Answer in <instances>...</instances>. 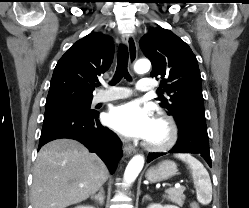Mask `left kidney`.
Returning a JSON list of instances; mask_svg holds the SVG:
<instances>
[{
	"mask_svg": "<svg viewBox=\"0 0 249 208\" xmlns=\"http://www.w3.org/2000/svg\"><path fill=\"white\" fill-rule=\"evenodd\" d=\"M147 208H178V207L174 206V205H165V206H162L160 204H150Z\"/></svg>",
	"mask_w": 249,
	"mask_h": 208,
	"instance_id": "5707ae66",
	"label": "left kidney"
}]
</instances>
